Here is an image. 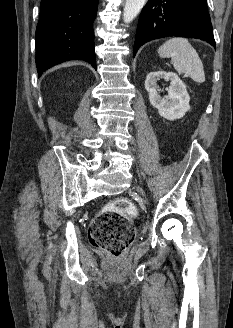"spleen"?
I'll return each mask as SVG.
<instances>
[{
  "instance_id": "obj_1",
  "label": "spleen",
  "mask_w": 233,
  "mask_h": 328,
  "mask_svg": "<svg viewBox=\"0 0 233 328\" xmlns=\"http://www.w3.org/2000/svg\"><path fill=\"white\" fill-rule=\"evenodd\" d=\"M162 58H171V63L178 73H183L196 83L205 81L202 61L198 53L186 38L174 37L167 40L158 49Z\"/></svg>"
}]
</instances>
